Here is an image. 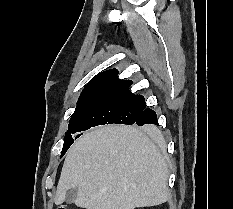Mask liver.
<instances>
[{
	"label": "liver",
	"mask_w": 233,
	"mask_h": 209,
	"mask_svg": "<svg viewBox=\"0 0 233 209\" xmlns=\"http://www.w3.org/2000/svg\"><path fill=\"white\" fill-rule=\"evenodd\" d=\"M156 134L155 127L148 128ZM168 166L157 146L134 126L107 125L82 135L67 152L54 198L76 188L85 209H135L169 198Z\"/></svg>",
	"instance_id": "obj_1"
}]
</instances>
